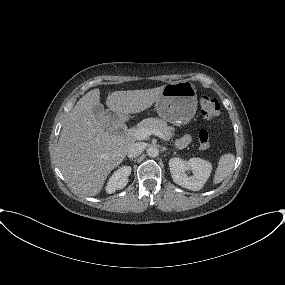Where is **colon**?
<instances>
[{"mask_svg": "<svg viewBox=\"0 0 285 285\" xmlns=\"http://www.w3.org/2000/svg\"><path fill=\"white\" fill-rule=\"evenodd\" d=\"M200 111L202 116L212 121L220 114V103L213 97L204 96L200 99ZM199 147L202 150H206L210 147V138L206 130H201L198 138Z\"/></svg>", "mask_w": 285, "mask_h": 285, "instance_id": "colon-1", "label": "colon"}]
</instances>
